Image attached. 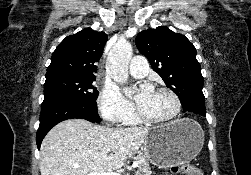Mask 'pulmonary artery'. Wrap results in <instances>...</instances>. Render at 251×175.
<instances>
[{
  "instance_id": "1",
  "label": "pulmonary artery",
  "mask_w": 251,
  "mask_h": 175,
  "mask_svg": "<svg viewBox=\"0 0 251 175\" xmlns=\"http://www.w3.org/2000/svg\"><path fill=\"white\" fill-rule=\"evenodd\" d=\"M147 58H143V55H136L133 58V62L129 66V73L134 77H144L148 71Z\"/></svg>"
}]
</instances>
